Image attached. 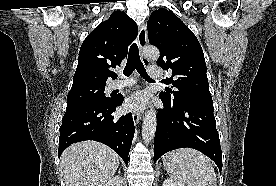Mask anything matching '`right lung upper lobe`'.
<instances>
[{
    "label": "right lung upper lobe",
    "mask_w": 276,
    "mask_h": 186,
    "mask_svg": "<svg viewBox=\"0 0 276 186\" xmlns=\"http://www.w3.org/2000/svg\"><path fill=\"white\" fill-rule=\"evenodd\" d=\"M137 36V25L126 13L116 11L101 22L84 40L80 51L72 88L83 85H105L111 70L120 66L129 44Z\"/></svg>",
    "instance_id": "obj_1"
}]
</instances>
